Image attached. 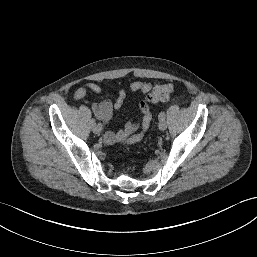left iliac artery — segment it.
<instances>
[{"instance_id":"44dca946","label":"left iliac artery","mask_w":257,"mask_h":257,"mask_svg":"<svg viewBox=\"0 0 257 257\" xmlns=\"http://www.w3.org/2000/svg\"><path fill=\"white\" fill-rule=\"evenodd\" d=\"M158 119H159V120H165V112H164V111H162V112L159 113Z\"/></svg>"}]
</instances>
